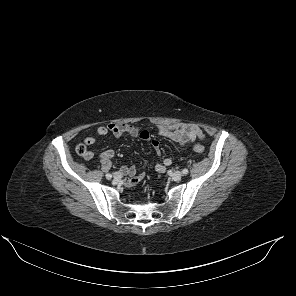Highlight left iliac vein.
I'll use <instances>...</instances> for the list:
<instances>
[{"mask_svg":"<svg viewBox=\"0 0 296 296\" xmlns=\"http://www.w3.org/2000/svg\"><path fill=\"white\" fill-rule=\"evenodd\" d=\"M171 178L174 181H179L182 178V173L180 171H175L171 174Z\"/></svg>","mask_w":296,"mask_h":296,"instance_id":"obj_1","label":"left iliac vein"}]
</instances>
